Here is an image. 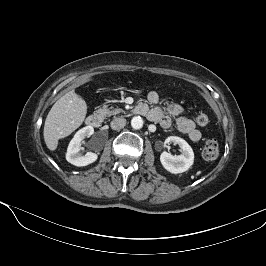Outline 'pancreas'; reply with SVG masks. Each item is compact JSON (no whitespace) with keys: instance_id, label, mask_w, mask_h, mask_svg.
<instances>
[{"instance_id":"obj_1","label":"pancreas","mask_w":266,"mask_h":266,"mask_svg":"<svg viewBox=\"0 0 266 266\" xmlns=\"http://www.w3.org/2000/svg\"><path fill=\"white\" fill-rule=\"evenodd\" d=\"M123 112L121 108H113V107H108V106H103L102 108H99L96 113L101 115L102 117H109L112 115H116Z\"/></svg>"}]
</instances>
